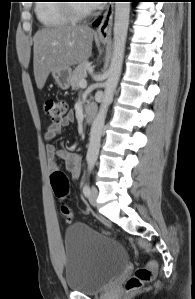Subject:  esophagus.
I'll list each match as a JSON object with an SVG mask.
<instances>
[{
    "label": "esophagus",
    "instance_id": "obj_1",
    "mask_svg": "<svg viewBox=\"0 0 195 299\" xmlns=\"http://www.w3.org/2000/svg\"><path fill=\"white\" fill-rule=\"evenodd\" d=\"M114 5L109 3L97 28L99 38L107 39L111 36L113 25Z\"/></svg>",
    "mask_w": 195,
    "mask_h": 299
}]
</instances>
